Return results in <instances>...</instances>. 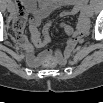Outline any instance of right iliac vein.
I'll return each mask as SVG.
<instances>
[{"label":"right iliac vein","instance_id":"right-iliac-vein-1","mask_svg":"<svg viewBox=\"0 0 103 103\" xmlns=\"http://www.w3.org/2000/svg\"><path fill=\"white\" fill-rule=\"evenodd\" d=\"M8 11H9V12H11V11H12V9H11V8H8Z\"/></svg>","mask_w":103,"mask_h":103}]
</instances>
